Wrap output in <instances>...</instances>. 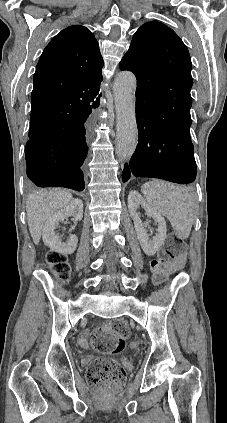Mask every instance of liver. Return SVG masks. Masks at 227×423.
<instances>
[{"label": "liver", "mask_w": 227, "mask_h": 423, "mask_svg": "<svg viewBox=\"0 0 227 423\" xmlns=\"http://www.w3.org/2000/svg\"><path fill=\"white\" fill-rule=\"evenodd\" d=\"M70 200H72L70 192L60 190V188L41 190V192H35V194L28 196L26 202L27 221L30 235L35 245H38L43 227L49 217L55 211L67 206Z\"/></svg>", "instance_id": "obj_1"}]
</instances>
